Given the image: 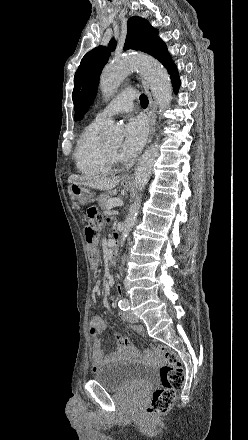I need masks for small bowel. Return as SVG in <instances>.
Returning <instances> with one entry per match:
<instances>
[{
    "instance_id": "1",
    "label": "small bowel",
    "mask_w": 248,
    "mask_h": 440,
    "mask_svg": "<svg viewBox=\"0 0 248 440\" xmlns=\"http://www.w3.org/2000/svg\"><path fill=\"white\" fill-rule=\"evenodd\" d=\"M105 328L106 321L103 317L99 315L93 317L88 323V331L93 337L92 367L94 371L100 369L104 365L121 361L123 359L137 358L139 356L137 350L131 344V342L120 334H114L113 336V339L117 344L116 351L108 355L104 354V351L102 349V339L100 335L103 333ZM133 330L139 334H142L144 332L142 326H134ZM151 356V353L147 354L148 358H150Z\"/></svg>"
}]
</instances>
